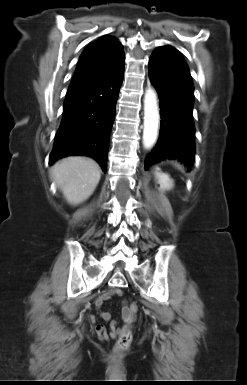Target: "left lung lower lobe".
<instances>
[{
  "label": "left lung lower lobe",
  "mask_w": 247,
  "mask_h": 385,
  "mask_svg": "<svg viewBox=\"0 0 247 385\" xmlns=\"http://www.w3.org/2000/svg\"><path fill=\"white\" fill-rule=\"evenodd\" d=\"M149 77L160 99L161 125L145 169L166 158H176L190 167L195 149L194 87L186 62L174 47H158L149 60Z\"/></svg>",
  "instance_id": "0a47b994"
}]
</instances>
